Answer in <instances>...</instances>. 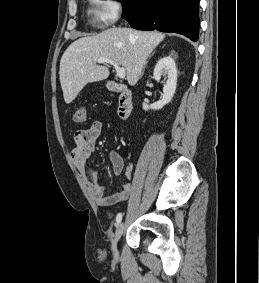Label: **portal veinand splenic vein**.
I'll use <instances>...</instances> for the list:
<instances>
[{"mask_svg":"<svg viewBox=\"0 0 259 283\" xmlns=\"http://www.w3.org/2000/svg\"><path fill=\"white\" fill-rule=\"evenodd\" d=\"M97 63L99 64H103V63H109L111 65H113V67L116 70L117 76L121 79L125 78V69L123 67H119L117 63H115L114 61H112L111 59L108 58H99L97 60Z\"/></svg>","mask_w":259,"mask_h":283,"instance_id":"portal-vein-and-splenic-vein-1","label":"portal vein and splenic vein"}]
</instances>
